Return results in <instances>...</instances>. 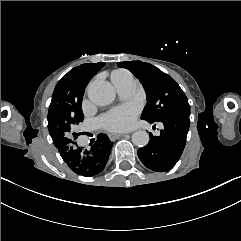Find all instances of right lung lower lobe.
I'll return each mask as SVG.
<instances>
[{
    "mask_svg": "<svg viewBox=\"0 0 241 241\" xmlns=\"http://www.w3.org/2000/svg\"><path fill=\"white\" fill-rule=\"evenodd\" d=\"M113 142L107 135L99 134L96 142L89 148L83 149L72 145L58 147L60 155L68 167L82 176H94L104 170L111 153Z\"/></svg>",
    "mask_w": 241,
    "mask_h": 241,
    "instance_id": "1",
    "label": "right lung lower lobe"
}]
</instances>
